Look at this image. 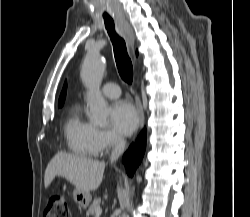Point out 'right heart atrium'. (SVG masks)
I'll return each instance as SVG.
<instances>
[{"mask_svg": "<svg viewBox=\"0 0 250 217\" xmlns=\"http://www.w3.org/2000/svg\"><path fill=\"white\" fill-rule=\"evenodd\" d=\"M123 139L110 130L96 129L94 134V149L96 154H104L120 147Z\"/></svg>", "mask_w": 250, "mask_h": 217, "instance_id": "obj_1", "label": "right heart atrium"}]
</instances>
